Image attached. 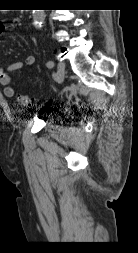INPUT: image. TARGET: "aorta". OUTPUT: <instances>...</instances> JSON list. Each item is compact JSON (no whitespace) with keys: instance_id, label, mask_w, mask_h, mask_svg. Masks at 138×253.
<instances>
[{"instance_id":"aorta-1","label":"aorta","mask_w":138,"mask_h":253,"mask_svg":"<svg viewBox=\"0 0 138 253\" xmlns=\"http://www.w3.org/2000/svg\"><path fill=\"white\" fill-rule=\"evenodd\" d=\"M33 24L36 28H41L44 20H45V13L44 10H33Z\"/></svg>"}]
</instances>
